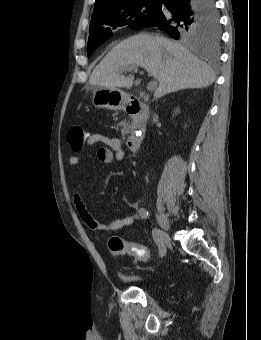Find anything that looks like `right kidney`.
<instances>
[{"mask_svg":"<svg viewBox=\"0 0 261 340\" xmlns=\"http://www.w3.org/2000/svg\"><path fill=\"white\" fill-rule=\"evenodd\" d=\"M175 112L178 113L179 112V108H177Z\"/></svg>","mask_w":261,"mask_h":340,"instance_id":"obj_1","label":"right kidney"}]
</instances>
